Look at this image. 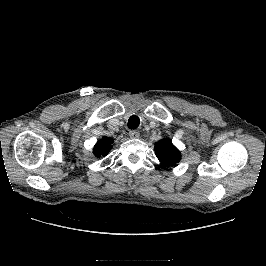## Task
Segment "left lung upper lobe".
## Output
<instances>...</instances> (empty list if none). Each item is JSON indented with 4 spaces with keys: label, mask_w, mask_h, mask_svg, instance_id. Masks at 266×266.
<instances>
[{
    "label": "left lung upper lobe",
    "mask_w": 266,
    "mask_h": 266,
    "mask_svg": "<svg viewBox=\"0 0 266 266\" xmlns=\"http://www.w3.org/2000/svg\"><path fill=\"white\" fill-rule=\"evenodd\" d=\"M155 153L159 161L164 166L174 165L181 159L180 151L172 144L169 139L159 140L155 144Z\"/></svg>",
    "instance_id": "left-lung-upper-lobe-1"
}]
</instances>
